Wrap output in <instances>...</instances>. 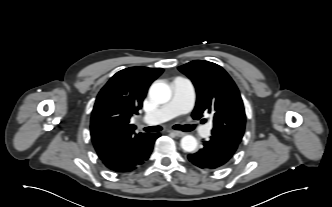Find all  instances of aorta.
Returning <instances> with one entry per match:
<instances>
[{"label": "aorta", "instance_id": "aorta-1", "mask_svg": "<svg viewBox=\"0 0 332 207\" xmlns=\"http://www.w3.org/2000/svg\"><path fill=\"white\" fill-rule=\"evenodd\" d=\"M171 89L164 82H154L149 89V97L156 103L163 104L170 100ZM181 148L186 152H193L197 148V140L192 135H186L181 139Z\"/></svg>", "mask_w": 332, "mask_h": 207}]
</instances>
